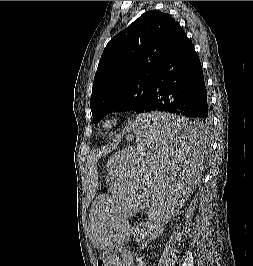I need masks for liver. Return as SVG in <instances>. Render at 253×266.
<instances>
[{
    "mask_svg": "<svg viewBox=\"0 0 253 266\" xmlns=\"http://www.w3.org/2000/svg\"><path fill=\"white\" fill-rule=\"evenodd\" d=\"M117 144H118V142H115V144H112V145H110V146H107L106 148L102 149V150L99 151V152L97 151V153H95V155L92 156V157L89 159V161H91V160H98V158H99L100 156H102L103 154H107V153L111 152ZM98 247H99V246H98Z\"/></svg>",
    "mask_w": 253,
    "mask_h": 266,
    "instance_id": "liver-1",
    "label": "liver"
}]
</instances>
